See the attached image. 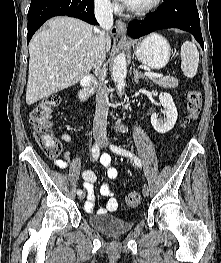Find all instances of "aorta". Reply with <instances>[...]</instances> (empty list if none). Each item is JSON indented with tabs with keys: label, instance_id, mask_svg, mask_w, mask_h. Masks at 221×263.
<instances>
[{
	"label": "aorta",
	"instance_id": "obj_1",
	"mask_svg": "<svg viewBox=\"0 0 221 263\" xmlns=\"http://www.w3.org/2000/svg\"><path fill=\"white\" fill-rule=\"evenodd\" d=\"M127 75V63L124 53H120L114 59L112 66V78L115 82L118 94L121 96L125 87V79Z\"/></svg>",
	"mask_w": 221,
	"mask_h": 263
}]
</instances>
